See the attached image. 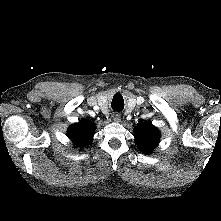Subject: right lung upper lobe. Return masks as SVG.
Returning a JSON list of instances; mask_svg holds the SVG:
<instances>
[{"instance_id": "right-lung-upper-lobe-1", "label": "right lung upper lobe", "mask_w": 221, "mask_h": 221, "mask_svg": "<svg viewBox=\"0 0 221 221\" xmlns=\"http://www.w3.org/2000/svg\"><path fill=\"white\" fill-rule=\"evenodd\" d=\"M95 131V124L88 120H82L69 127L68 137L80 147L90 144Z\"/></svg>"}]
</instances>
